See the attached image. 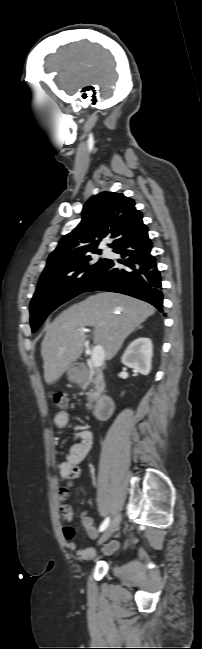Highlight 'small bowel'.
Returning a JSON list of instances; mask_svg holds the SVG:
<instances>
[{
    "mask_svg": "<svg viewBox=\"0 0 202 649\" xmlns=\"http://www.w3.org/2000/svg\"><path fill=\"white\" fill-rule=\"evenodd\" d=\"M54 425L58 428H64L70 421V414L67 411H59L54 416ZM92 447V435L89 431H81L76 435V441L71 445L65 460L60 465V479L65 486L59 488L57 498L59 502V511L65 526L62 528V535L68 542L67 547L72 551H77V557L81 561H89L96 557V551L93 548L78 549L74 542L75 529L69 525L73 518L72 507L68 504L70 490L75 484V479L80 474V465L86 458ZM82 524L91 539L98 537V530L93 520L86 514L82 515ZM119 545L118 540L114 539L101 546L104 555L114 552Z\"/></svg>",
    "mask_w": 202,
    "mask_h": 649,
    "instance_id": "obj_1",
    "label": "small bowel"
}]
</instances>
